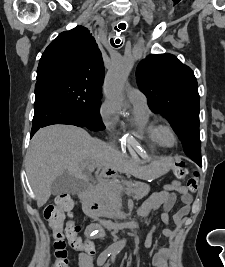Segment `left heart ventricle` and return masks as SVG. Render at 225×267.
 Masks as SVG:
<instances>
[{"mask_svg": "<svg viewBox=\"0 0 225 267\" xmlns=\"http://www.w3.org/2000/svg\"><path fill=\"white\" fill-rule=\"evenodd\" d=\"M167 140H168L169 142H172V137H171L170 135H167Z\"/></svg>", "mask_w": 225, "mask_h": 267, "instance_id": "left-heart-ventricle-1", "label": "left heart ventricle"}]
</instances>
